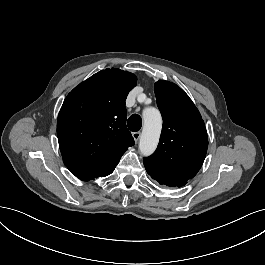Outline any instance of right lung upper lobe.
Wrapping results in <instances>:
<instances>
[{"mask_svg":"<svg viewBox=\"0 0 265 265\" xmlns=\"http://www.w3.org/2000/svg\"><path fill=\"white\" fill-rule=\"evenodd\" d=\"M136 76L101 70L66 97L57 121V136L67 168L111 173L134 139L126 128L125 100Z\"/></svg>","mask_w":265,"mask_h":265,"instance_id":"right-lung-upper-lobe-1","label":"right lung upper lobe"}]
</instances>
